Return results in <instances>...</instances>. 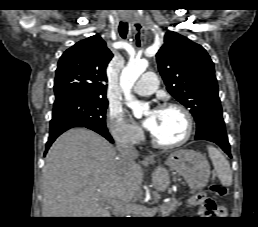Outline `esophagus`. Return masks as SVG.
Wrapping results in <instances>:
<instances>
[{"mask_svg": "<svg viewBox=\"0 0 258 227\" xmlns=\"http://www.w3.org/2000/svg\"><path fill=\"white\" fill-rule=\"evenodd\" d=\"M145 160H146V161H150L151 158H150L149 156H147V157H145Z\"/></svg>", "mask_w": 258, "mask_h": 227, "instance_id": "1", "label": "esophagus"}]
</instances>
